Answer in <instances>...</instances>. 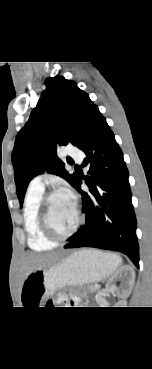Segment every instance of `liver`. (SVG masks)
Instances as JSON below:
<instances>
[{"instance_id": "liver-1", "label": "liver", "mask_w": 152, "mask_h": 369, "mask_svg": "<svg viewBox=\"0 0 152 369\" xmlns=\"http://www.w3.org/2000/svg\"><path fill=\"white\" fill-rule=\"evenodd\" d=\"M57 260L55 254H27L24 258V270L23 277L26 278L31 272L43 269Z\"/></svg>"}]
</instances>
